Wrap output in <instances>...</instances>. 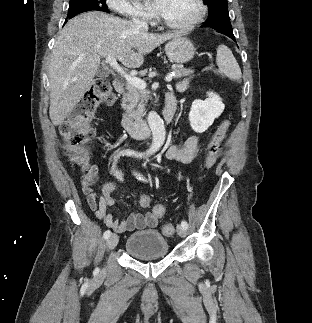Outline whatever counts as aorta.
Segmentation results:
<instances>
[{
	"instance_id": "obj_1",
	"label": "aorta",
	"mask_w": 312,
	"mask_h": 323,
	"mask_svg": "<svg viewBox=\"0 0 312 323\" xmlns=\"http://www.w3.org/2000/svg\"><path fill=\"white\" fill-rule=\"evenodd\" d=\"M147 122L153 136L150 152H158L163 146L166 136L163 120L159 118L156 112H149Z\"/></svg>"
}]
</instances>
